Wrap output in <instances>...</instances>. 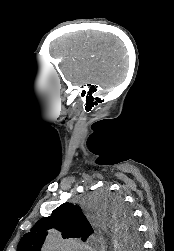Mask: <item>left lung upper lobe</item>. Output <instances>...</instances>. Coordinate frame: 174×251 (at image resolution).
Returning a JSON list of instances; mask_svg holds the SVG:
<instances>
[{
	"label": "left lung upper lobe",
	"instance_id": "left-lung-upper-lobe-1",
	"mask_svg": "<svg viewBox=\"0 0 174 251\" xmlns=\"http://www.w3.org/2000/svg\"><path fill=\"white\" fill-rule=\"evenodd\" d=\"M106 203V212L116 220L122 239L138 248L137 229L129 209L125 207L119 197L111 196ZM51 228L60 230L63 238H82L84 241L93 233V229L80 207L64 203L56 208L49 217L39 220L31 232L21 238L17 251H40L47 230Z\"/></svg>",
	"mask_w": 174,
	"mask_h": 251
}]
</instances>
